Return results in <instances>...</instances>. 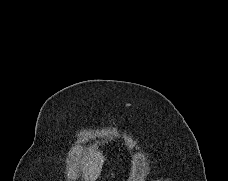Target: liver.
Returning a JSON list of instances; mask_svg holds the SVG:
<instances>
[{"label": "liver", "mask_w": 228, "mask_h": 181, "mask_svg": "<svg viewBox=\"0 0 228 181\" xmlns=\"http://www.w3.org/2000/svg\"><path fill=\"white\" fill-rule=\"evenodd\" d=\"M103 157L102 153H99V151H94V153H91L89 157H87V163H85V167L83 171H85L83 177V181H97L102 165H103Z\"/></svg>", "instance_id": "obj_1"}]
</instances>
